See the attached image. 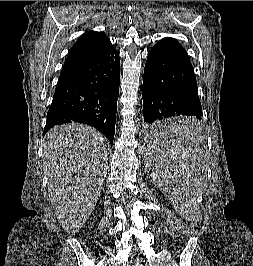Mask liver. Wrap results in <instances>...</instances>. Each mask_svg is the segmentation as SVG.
<instances>
[{"instance_id":"1","label":"liver","mask_w":253,"mask_h":266,"mask_svg":"<svg viewBox=\"0 0 253 266\" xmlns=\"http://www.w3.org/2000/svg\"><path fill=\"white\" fill-rule=\"evenodd\" d=\"M108 140L96 129L69 123L51 129L43 145L48 191L63 229L77 233L103 189Z\"/></svg>"}]
</instances>
